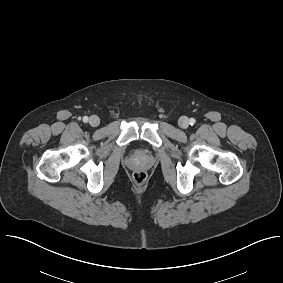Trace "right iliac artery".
Segmentation results:
<instances>
[{"instance_id": "right-iliac-artery-1", "label": "right iliac artery", "mask_w": 283, "mask_h": 283, "mask_svg": "<svg viewBox=\"0 0 283 283\" xmlns=\"http://www.w3.org/2000/svg\"><path fill=\"white\" fill-rule=\"evenodd\" d=\"M87 121H88V117H87V116H84V117H83V122L86 123Z\"/></svg>"}]
</instances>
